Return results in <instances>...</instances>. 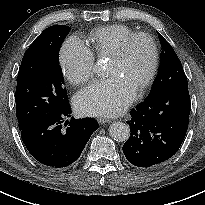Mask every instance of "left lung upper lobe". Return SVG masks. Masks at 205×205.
I'll use <instances>...</instances> for the list:
<instances>
[{
    "mask_svg": "<svg viewBox=\"0 0 205 205\" xmlns=\"http://www.w3.org/2000/svg\"><path fill=\"white\" fill-rule=\"evenodd\" d=\"M159 39L163 48L160 68L148 97L164 94L173 89L179 82L187 81L182 64L172 46L161 34H159Z\"/></svg>",
    "mask_w": 205,
    "mask_h": 205,
    "instance_id": "5c2ea615",
    "label": "left lung upper lobe"
}]
</instances>
